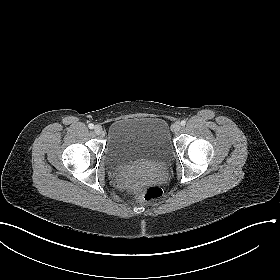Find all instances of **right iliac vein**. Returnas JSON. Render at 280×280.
Returning <instances> with one entry per match:
<instances>
[{
  "label": "right iliac vein",
  "mask_w": 280,
  "mask_h": 280,
  "mask_svg": "<svg viewBox=\"0 0 280 280\" xmlns=\"http://www.w3.org/2000/svg\"><path fill=\"white\" fill-rule=\"evenodd\" d=\"M103 129L100 125H96L94 127V132L97 134V135H100L102 133Z\"/></svg>",
  "instance_id": "right-iliac-vein-1"
}]
</instances>
